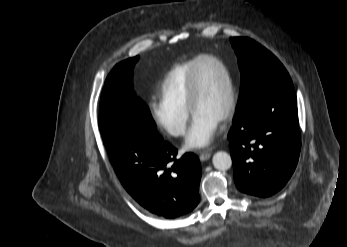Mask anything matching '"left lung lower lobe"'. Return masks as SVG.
I'll use <instances>...</instances> for the list:
<instances>
[{
    "label": "left lung lower lobe",
    "instance_id": "left-lung-lower-lobe-1",
    "mask_svg": "<svg viewBox=\"0 0 347 247\" xmlns=\"http://www.w3.org/2000/svg\"><path fill=\"white\" fill-rule=\"evenodd\" d=\"M228 139L240 191L268 197L281 190L296 168L301 147L292 83L268 88L236 113Z\"/></svg>",
    "mask_w": 347,
    "mask_h": 247
}]
</instances>
